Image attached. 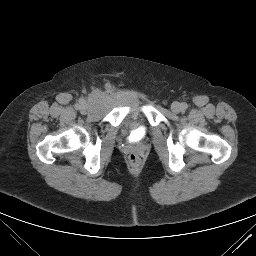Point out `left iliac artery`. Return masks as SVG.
I'll list each match as a JSON object with an SVG mask.
<instances>
[{"instance_id": "left-iliac-artery-1", "label": "left iliac artery", "mask_w": 256, "mask_h": 256, "mask_svg": "<svg viewBox=\"0 0 256 256\" xmlns=\"http://www.w3.org/2000/svg\"><path fill=\"white\" fill-rule=\"evenodd\" d=\"M182 110H186L188 108V105L186 103L181 104Z\"/></svg>"}]
</instances>
